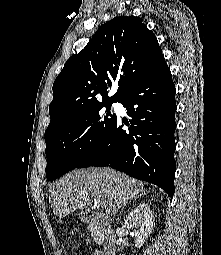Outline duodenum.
Instances as JSON below:
<instances>
[{"label": "duodenum", "mask_w": 221, "mask_h": 255, "mask_svg": "<svg viewBox=\"0 0 221 255\" xmlns=\"http://www.w3.org/2000/svg\"><path fill=\"white\" fill-rule=\"evenodd\" d=\"M82 220L96 229L97 235L103 244L105 255H116L117 237L107 218L100 213L88 210L83 212Z\"/></svg>", "instance_id": "duodenum-1"}]
</instances>
